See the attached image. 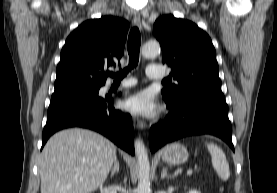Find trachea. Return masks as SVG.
Listing matches in <instances>:
<instances>
[{"label":"trachea","mask_w":277,"mask_h":193,"mask_svg":"<svg viewBox=\"0 0 277 193\" xmlns=\"http://www.w3.org/2000/svg\"><path fill=\"white\" fill-rule=\"evenodd\" d=\"M140 44L141 35L139 29L137 27H133L128 37L129 65L127 68L120 70L116 74H110L111 77H115L116 81H120L121 79H123L131 69L138 65Z\"/></svg>","instance_id":"trachea-1"}]
</instances>
